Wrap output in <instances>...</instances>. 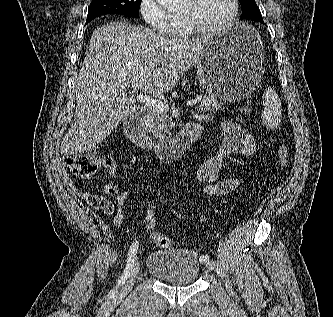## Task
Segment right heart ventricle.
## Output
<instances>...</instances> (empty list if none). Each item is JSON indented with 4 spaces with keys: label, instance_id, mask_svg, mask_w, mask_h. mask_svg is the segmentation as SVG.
Here are the masks:
<instances>
[{
    "label": "right heart ventricle",
    "instance_id": "right-heart-ventricle-1",
    "mask_svg": "<svg viewBox=\"0 0 333 317\" xmlns=\"http://www.w3.org/2000/svg\"><path fill=\"white\" fill-rule=\"evenodd\" d=\"M175 17V29L173 35L178 38H188L192 35V32L186 27L183 20L179 15H174Z\"/></svg>",
    "mask_w": 333,
    "mask_h": 317
}]
</instances>
